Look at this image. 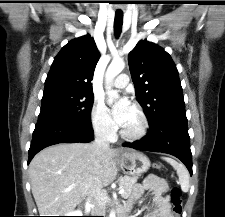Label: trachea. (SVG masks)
Masks as SVG:
<instances>
[{"instance_id":"trachea-1","label":"trachea","mask_w":225,"mask_h":217,"mask_svg":"<svg viewBox=\"0 0 225 217\" xmlns=\"http://www.w3.org/2000/svg\"><path fill=\"white\" fill-rule=\"evenodd\" d=\"M122 25H123V14L122 13L115 14V19H114V33H115V35L117 37L121 33Z\"/></svg>"}]
</instances>
